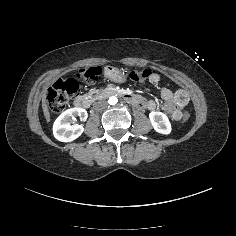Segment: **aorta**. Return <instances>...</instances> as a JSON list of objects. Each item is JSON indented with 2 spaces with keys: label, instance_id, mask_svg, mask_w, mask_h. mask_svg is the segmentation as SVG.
I'll return each instance as SVG.
<instances>
[{
  "label": "aorta",
  "instance_id": "1",
  "mask_svg": "<svg viewBox=\"0 0 236 236\" xmlns=\"http://www.w3.org/2000/svg\"><path fill=\"white\" fill-rule=\"evenodd\" d=\"M117 102H118V99L115 96L110 97L109 100H108V103L110 105H115Z\"/></svg>",
  "mask_w": 236,
  "mask_h": 236
}]
</instances>
